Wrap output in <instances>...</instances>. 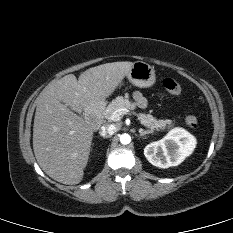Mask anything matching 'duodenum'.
I'll use <instances>...</instances> for the list:
<instances>
[{
	"instance_id": "obj_1",
	"label": "duodenum",
	"mask_w": 233,
	"mask_h": 233,
	"mask_svg": "<svg viewBox=\"0 0 233 233\" xmlns=\"http://www.w3.org/2000/svg\"><path fill=\"white\" fill-rule=\"evenodd\" d=\"M100 111L101 110L99 106H91L86 111V118L88 122L94 127H98L100 125Z\"/></svg>"
}]
</instances>
